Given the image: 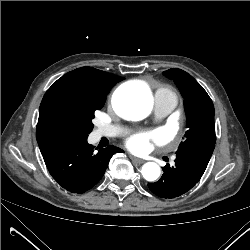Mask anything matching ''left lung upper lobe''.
<instances>
[{"label":"left lung upper lobe","mask_w":250,"mask_h":250,"mask_svg":"<svg viewBox=\"0 0 250 250\" xmlns=\"http://www.w3.org/2000/svg\"><path fill=\"white\" fill-rule=\"evenodd\" d=\"M163 74L174 80L184 98L188 130L177 152L191 146L215 144L214 106L204 88L181 69H169Z\"/></svg>","instance_id":"obj_1"}]
</instances>
